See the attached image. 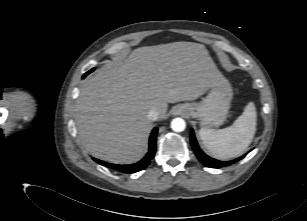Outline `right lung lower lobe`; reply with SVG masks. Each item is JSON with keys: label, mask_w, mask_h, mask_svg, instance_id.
<instances>
[{"label": "right lung lower lobe", "mask_w": 307, "mask_h": 221, "mask_svg": "<svg viewBox=\"0 0 307 221\" xmlns=\"http://www.w3.org/2000/svg\"><path fill=\"white\" fill-rule=\"evenodd\" d=\"M86 74L83 76L85 77ZM157 128H154V130L151 133L150 136V141H149V151L146 154V156L140 160L137 163L134 164H130V165H115V164H111V163H107L101 160H98L96 158H93L97 163L104 165L110 169L122 172V173H134V172H138L142 169H144L145 167H147L150 163V161L153 159L154 154H155V143H156V136H157Z\"/></svg>", "instance_id": "98d812e1"}]
</instances>
